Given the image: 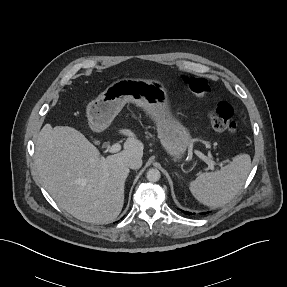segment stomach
Masks as SVG:
<instances>
[{
  "label": "stomach",
  "mask_w": 287,
  "mask_h": 287,
  "mask_svg": "<svg viewBox=\"0 0 287 287\" xmlns=\"http://www.w3.org/2000/svg\"><path fill=\"white\" fill-rule=\"evenodd\" d=\"M126 103L141 107L154 122L166 152L177 160L192 143L189 130L171 113L164 84L155 79L123 78L114 81L87 107L94 131L107 128Z\"/></svg>",
  "instance_id": "1"
}]
</instances>
